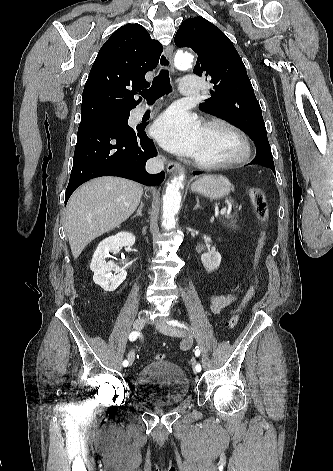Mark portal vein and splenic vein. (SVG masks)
Wrapping results in <instances>:
<instances>
[{
	"instance_id": "1",
	"label": "portal vein and splenic vein",
	"mask_w": 333,
	"mask_h": 471,
	"mask_svg": "<svg viewBox=\"0 0 333 471\" xmlns=\"http://www.w3.org/2000/svg\"><path fill=\"white\" fill-rule=\"evenodd\" d=\"M226 212H227V208L224 207V208L221 209L220 214L224 215Z\"/></svg>"
}]
</instances>
